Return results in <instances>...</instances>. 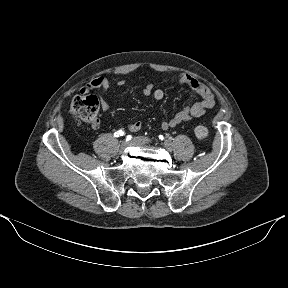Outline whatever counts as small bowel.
I'll return each mask as SVG.
<instances>
[{"label": "small bowel", "mask_w": 288, "mask_h": 288, "mask_svg": "<svg viewBox=\"0 0 288 288\" xmlns=\"http://www.w3.org/2000/svg\"><path fill=\"white\" fill-rule=\"evenodd\" d=\"M177 82L181 85H187L200 95L201 100L191 106H187L178 111L169 120L163 121L161 127L164 130L176 127L177 125L192 120L194 118L201 117L207 110L211 109L215 105V98L212 91L204 83L195 79L188 74H181L177 78ZM119 86L126 84L125 80H119L117 83ZM110 88V82L105 77H98L85 84L81 90V94H87L93 89H100L99 101L101 108L104 112L111 110V101L108 99L107 94ZM143 94L146 96L152 95L156 100L164 98V91L162 89H155L153 84H147L143 89ZM93 128L99 126V121L92 123ZM142 128V124L139 121L131 122L128 124V129L132 132H137Z\"/></svg>", "instance_id": "obj_1"}]
</instances>
